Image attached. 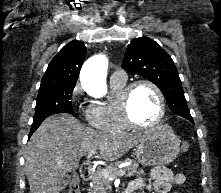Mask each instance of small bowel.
Instances as JSON below:
<instances>
[{"instance_id": "c3829d8e", "label": "small bowel", "mask_w": 221, "mask_h": 193, "mask_svg": "<svg viewBox=\"0 0 221 193\" xmlns=\"http://www.w3.org/2000/svg\"><path fill=\"white\" fill-rule=\"evenodd\" d=\"M152 179V190L154 193H168L174 186L182 185L186 182V176L182 173H173L166 166L154 167L150 173ZM145 185L144 177H135L129 186L132 193H140Z\"/></svg>"}]
</instances>
